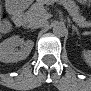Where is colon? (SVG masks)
<instances>
[{
    "label": "colon",
    "instance_id": "obj_1",
    "mask_svg": "<svg viewBox=\"0 0 91 91\" xmlns=\"http://www.w3.org/2000/svg\"><path fill=\"white\" fill-rule=\"evenodd\" d=\"M7 29H8V28H7V25H6L5 23L1 25V31H2V32H6Z\"/></svg>",
    "mask_w": 91,
    "mask_h": 91
}]
</instances>
